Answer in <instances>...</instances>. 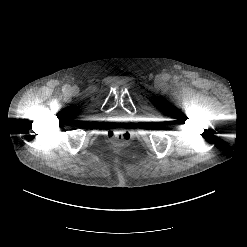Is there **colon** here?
<instances>
[{
	"mask_svg": "<svg viewBox=\"0 0 247 247\" xmlns=\"http://www.w3.org/2000/svg\"><path fill=\"white\" fill-rule=\"evenodd\" d=\"M111 136L116 138V139H119V140H122V139H125L128 137V134L125 133V132H121V133H111Z\"/></svg>",
	"mask_w": 247,
	"mask_h": 247,
	"instance_id": "5ec220e1",
	"label": "colon"
}]
</instances>
